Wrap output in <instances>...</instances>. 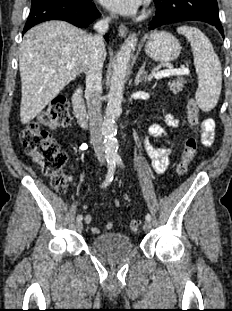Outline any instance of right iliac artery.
<instances>
[{
	"instance_id": "1",
	"label": "right iliac artery",
	"mask_w": 232,
	"mask_h": 311,
	"mask_svg": "<svg viewBox=\"0 0 232 311\" xmlns=\"http://www.w3.org/2000/svg\"><path fill=\"white\" fill-rule=\"evenodd\" d=\"M86 148H87V146L84 149H86ZM115 168H116L115 160H112V159L108 160V173H107L106 179H105L102 187H106L113 180ZM82 219H83L82 215H78L77 216V221L78 222H80Z\"/></svg>"
}]
</instances>
